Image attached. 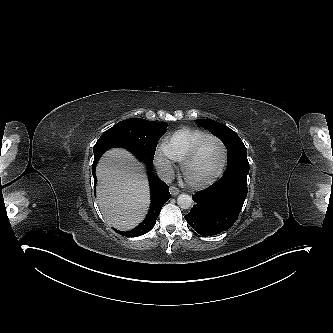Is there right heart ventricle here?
<instances>
[{
	"label": "right heart ventricle",
	"mask_w": 333,
	"mask_h": 333,
	"mask_svg": "<svg viewBox=\"0 0 333 333\" xmlns=\"http://www.w3.org/2000/svg\"><path fill=\"white\" fill-rule=\"evenodd\" d=\"M207 135L200 129L181 128L167 137L165 147L172 159L182 161L193 145Z\"/></svg>",
	"instance_id": "1"
}]
</instances>
